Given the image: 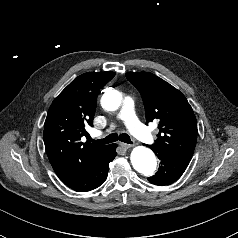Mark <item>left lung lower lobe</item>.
<instances>
[{
  "label": "left lung lower lobe",
  "mask_w": 238,
  "mask_h": 238,
  "mask_svg": "<svg viewBox=\"0 0 238 238\" xmlns=\"http://www.w3.org/2000/svg\"><path fill=\"white\" fill-rule=\"evenodd\" d=\"M160 159L157 173L148 178V181L156 185H169L175 182L186 170L190 158L168 152L154 151Z\"/></svg>",
  "instance_id": "1"
}]
</instances>
